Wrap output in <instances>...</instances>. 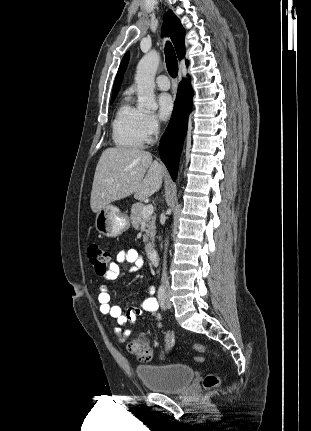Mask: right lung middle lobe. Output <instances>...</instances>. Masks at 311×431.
Masks as SVG:
<instances>
[{
    "label": "right lung middle lobe",
    "mask_w": 311,
    "mask_h": 431,
    "mask_svg": "<svg viewBox=\"0 0 311 431\" xmlns=\"http://www.w3.org/2000/svg\"><path fill=\"white\" fill-rule=\"evenodd\" d=\"M114 99H115V97H112V99H111V103L114 101Z\"/></svg>",
    "instance_id": "obj_1"
}]
</instances>
